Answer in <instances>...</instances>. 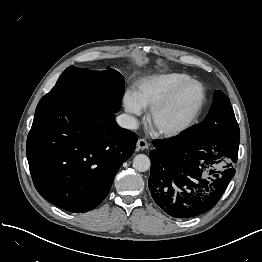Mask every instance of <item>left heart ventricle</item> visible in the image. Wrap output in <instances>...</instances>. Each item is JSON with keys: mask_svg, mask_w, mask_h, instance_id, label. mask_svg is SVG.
I'll list each match as a JSON object with an SVG mask.
<instances>
[{"mask_svg": "<svg viewBox=\"0 0 262 262\" xmlns=\"http://www.w3.org/2000/svg\"><path fill=\"white\" fill-rule=\"evenodd\" d=\"M202 98V88L190 84L156 117L155 126L173 128L185 123L195 112Z\"/></svg>", "mask_w": 262, "mask_h": 262, "instance_id": "1", "label": "left heart ventricle"}]
</instances>
